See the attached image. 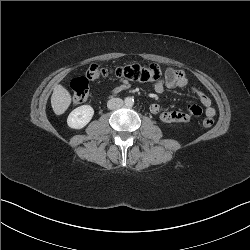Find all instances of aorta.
Listing matches in <instances>:
<instances>
[{"label":"aorta","mask_w":250,"mask_h":250,"mask_svg":"<svg viewBox=\"0 0 250 250\" xmlns=\"http://www.w3.org/2000/svg\"><path fill=\"white\" fill-rule=\"evenodd\" d=\"M124 103L125 106L132 107L134 105V99L132 97H126Z\"/></svg>","instance_id":"obj_1"}]
</instances>
